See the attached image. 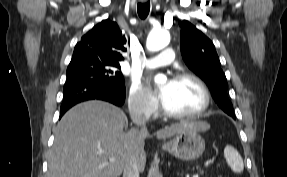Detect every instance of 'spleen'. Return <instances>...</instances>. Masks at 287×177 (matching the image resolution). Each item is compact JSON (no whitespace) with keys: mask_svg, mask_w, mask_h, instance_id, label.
<instances>
[{"mask_svg":"<svg viewBox=\"0 0 287 177\" xmlns=\"http://www.w3.org/2000/svg\"><path fill=\"white\" fill-rule=\"evenodd\" d=\"M224 157L233 172L241 173L243 171V159L234 147L227 145L224 149Z\"/></svg>","mask_w":287,"mask_h":177,"instance_id":"spleen-1","label":"spleen"}]
</instances>
